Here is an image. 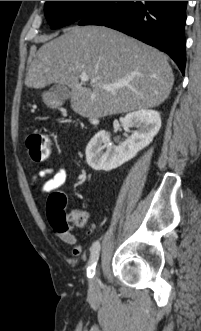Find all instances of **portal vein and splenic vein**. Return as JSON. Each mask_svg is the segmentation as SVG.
<instances>
[{
    "mask_svg": "<svg viewBox=\"0 0 201 331\" xmlns=\"http://www.w3.org/2000/svg\"><path fill=\"white\" fill-rule=\"evenodd\" d=\"M80 79L82 82H87L89 80V77L86 74H81ZM95 80H92V83H95ZM128 84L127 81H122V82H118V83H114V84H103L100 85L101 88L103 89H107V90H113V89H118L121 87H124Z\"/></svg>",
    "mask_w": 201,
    "mask_h": 331,
    "instance_id": "18ae733b",
    "label": "portal vein and splenic vein"
}]
</instances>
